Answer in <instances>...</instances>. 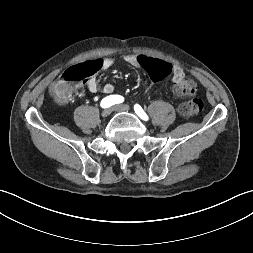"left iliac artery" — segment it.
<instances>
[{"label": "left iliac artery", "mask_w": 253, "mask_h": 253, "mask_svg": "<svg viewBox=\"0 0 253 253\" xmlns=\"http://www.w3.org/2000/svg\"><path fill=\"white\" fill-rule=\"evenodd\" d=\"M134 110L136 112V114L142 118L143 120L147 121L149 119L148 115L144 112V110L141 108L140 105L135 104L134 105Z\"/></svg>", "instance_id": "left-iliac-artery-1"}]
</instances>
